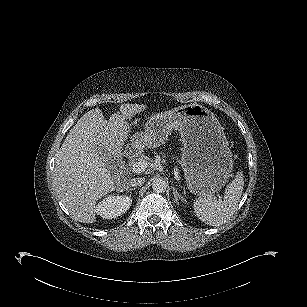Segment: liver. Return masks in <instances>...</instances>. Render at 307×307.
<instances>
[{"instance_id":"1","label":"liver","mask_w":307,"mask_h":307,"mask_svg":"<svg viewBox=\"0 0 307 307\" xmlns=\"http://www.w3.org/2000/svg\"><path fill=\"white\" fill-rule=\"evenodd\" d=\"M144 109V105H121L122 115H112L109 120L100 109H92L69 131L56 153L53 184L75 220L95 222L96 201L117 188L120 177L111 175L109 166L123 156L129 134L125 118ZM131 145L137 150L145 146L137 141Z\"/></svg>"}]
</instances>
